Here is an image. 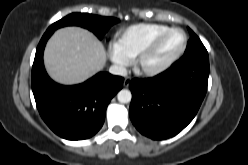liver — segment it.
I'll use <instances>...</instances> for the list:
<instances>
[{"label":"liver","mask_w":248,"mask_h":165,"mask_svg":"<svg viewBox=\"0 0 248 165\" xmlns=\"http://www.w3.org/2000/svg\"><path fill=\"white\" fill-rule=\"evenodd\" d=\"M107 56L103 44L88 30L65 27L47 42L44 64L49 76L58 83L84 82L101 71Z\"/></svg>","instance_id":"liver-1"}]
</instances>
